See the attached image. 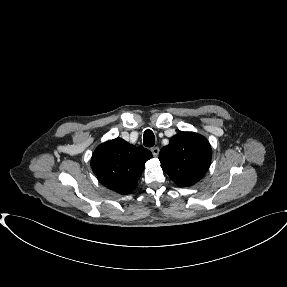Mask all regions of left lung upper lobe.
<instances>
[{
	"instance_id": "left-lung-upper-lobe-1",
	"label": "left lung upper lobe",
	"mask_w": 287,
	"mask_h": 287,
	"mask_svg": "<svg viewBox=\"0 0 287 287\" xmlns=\"http://www.w3.org/2000/svg\"><path fill=\"white\" fill-rule=\"evenodd\" d=\"M211 157L208 140L194 132H179L159 154L162 169L180 186L199 181L207 172Z\"/></svg>"
}]
</instances>
